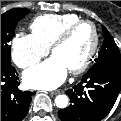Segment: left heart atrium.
<instances>
[{
  "instance_id": "39dd6f15",
  "label": "left heart atrium",
  "mask_w": 121,
  "mask_h": 121,
  "mask_svg": "<svg viewBox=\"0 0 121 121\" xmlns=\"http://www.w3.org/2000/svg\"><path fill=\"white\" fill-rule=\"evenodd\" d=\"M68 74L62 60L53 55L44 62L28 69L23 80L26 86L36 89H53L61 85Z\"/></svg>"
}]
</instances>
